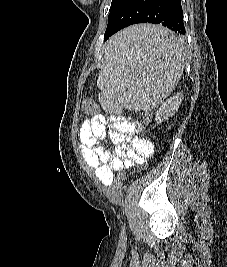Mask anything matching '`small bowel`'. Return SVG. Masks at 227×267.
Wrapping results in <instances>:
<instances>
[{"label": "small bowel", "instance_id": "obj_1", "mask_svg": "<svg viewBox=\"0 0 227 267\" xmlns=\"http://www.w3.org/2000/svg\"><path fill=\"white\" fill-rule=\"evenodd\" d=\"M140 130L138 122L122 117L107 119L103 116H92L82 122L79 132L80 152L103 186L109 187L113 184L115 171L124 169V166L144 164L153 155L152 142L139 136ZM107 134L116 146L115 151L108 149L104 143Z\"/></svg>", "mask_w": 227, "mask_h": 267}]
</instances>
